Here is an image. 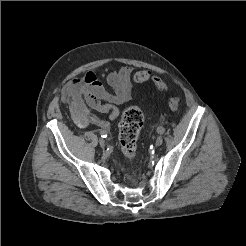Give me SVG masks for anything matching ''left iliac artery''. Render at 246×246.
<instances>
[{"instance_id":"obj_1","label":"left iliac artery","mask_w":246,"mask_h":246,"mask_svg":"<svg viewBox=\"0 0 246 246\" xmlns=\"http://www.w3.org/2000/svg\"><path fill=\"white\" fill-rule=\"evenodd\" d=\"M157 132H158L159 134H163V133L165 132V128H164V127H158V128H157Z\"/></svg>"}]
</instances>
